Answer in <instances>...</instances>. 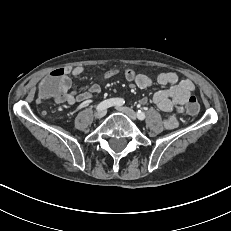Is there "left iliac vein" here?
<instances>
[{
  "instance_id": "left-iliac-vein-1",
  "label": "left iliac vein",
  "mask_w": 231,
  "mask_h": 231,
  "mask_svg": "<svg viewBox=\"0 0 231 231\" xmlns=\"http://www.w3.org/2000/svg\"><path fill=\"white\" fill-rule=\"evenodd\" d=\"M116 109L118 111L124 113L125 115H127L132 120H136V118H137L136 113L132 109H130L128 107L118 106V107H116Z\"/></svg>"
}]
</instances>
